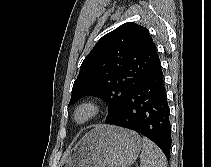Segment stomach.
<instances>
[{
  "instance_id": "stomach-1",
  "label": "stomach",
  "mask_w": 211,
  "mask_h": 167,
  "mask_svg": "<svg viewBox=\"0 0 211 167\" xmlns=\"http://www.w3.org/2000/svg\"><path fill=\"white\" fill-rule=\"evenodd\" d=\"M141 148L138 133L116 126H97L68 152L62 167H129Z\"/></svg>"
}]
</instances>
